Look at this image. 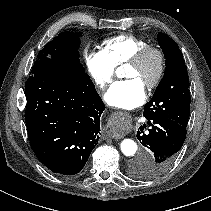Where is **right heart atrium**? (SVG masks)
Masks as SVG:
<instances>
[{
  "mask_svg": "<svg viewBox=\"0 0 211 211\" xmlns=\"http://www.w3.org/2000/svg\"><path fill=\"white\" fill-rule=\"evenodd\" d=\"M85 62L88 72L100 89L107 88L113 81L116 71L115 64L102 50H88L85 53Z\"/></svg>",
  "mask_w": 211,
  "mask_h": 211,
  "instance_id": "right-heart-atrium-1",
  "label": "right heart atrium"
}]
</instances>
